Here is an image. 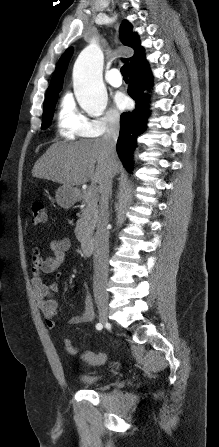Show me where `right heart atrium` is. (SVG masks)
I'll return each mask as SVG.
<instances>
[{
	"mask_svg": "<svg viewBox=\"0 0 219 447\" xmlns=\"http://www.w3.org/2000/svg\"><path fill=\"white\" fill-rule=\"evenodd\" d=\"M120 123V113L114 109H110L102 117L91 120L90 129L94 136H101L119 127Z\"/></svg>",
	"mask_w": 219,
	"mask_h": 447,
	"instance_id": "1",
	"label": "right heart atrium"
}]
</instances>
